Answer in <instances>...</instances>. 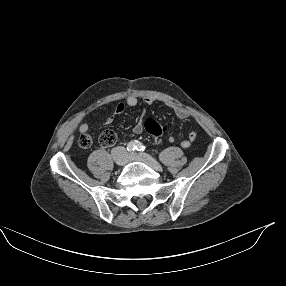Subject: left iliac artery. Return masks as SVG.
<instances>
[{
    "label": "left iliac artery",
    "instance_id": "1",
    "mask_svg": "<svg viewBox=\"0 0 286 286\" xmlns=\"http://www.w3.org/2000/svg\"><path fill=\"white\" fill-rule=\"evenodd\" d=\"M135 149L137 150V151H144L145 149H146V147L141 143V142H139V141H136V143H135Z\"/></svg>",
    "mask_w": 286,
    "mask_h": 286
}]
</instances>
